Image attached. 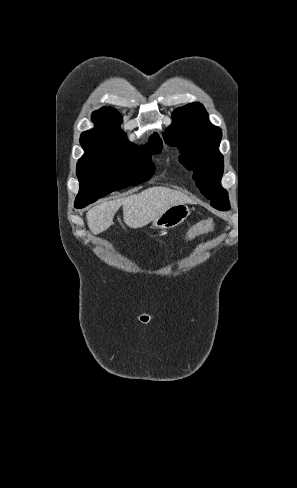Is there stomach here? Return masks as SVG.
Returning a JSON list of instances; mask_svg holds the SVG:
<instances>
[{"label": "stomach", "mask_w": 297, "mask_h": 488, "mask_svg": "<svg viewBox=\"0 0 297 488\" xmlns=\"http://www.w3.org/2000/svg\"><path fill=\"white\" fill-rule=\"evenodd\" d=\"M190 215V208L186 204H176L168 208L152 222V227L166 230L181 224Z\"/></svg>", "instance_id": "1"}]
</instances>
